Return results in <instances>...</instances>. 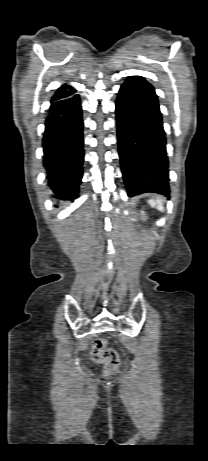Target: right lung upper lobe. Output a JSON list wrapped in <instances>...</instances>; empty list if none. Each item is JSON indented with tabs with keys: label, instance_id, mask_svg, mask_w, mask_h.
<instances>
[{
	"label": "right lung upper lobe",
	"instance_id": "obj_1",
	"mask_svg": "<svg viewBox=\"0 0 208 461\" xmlns=\"http://www.w3.org/2000/svg\"><path fill=\"white\" fill-rule=\"evenodd\" d=\"M75 91L76 90L73 89L71 86L63 85L55 92V94L52 97L51 102L72 96L75 93Z\"/></svg>",
	"mask_w": 208,
	"mask_h": 461
}]
</instances>
